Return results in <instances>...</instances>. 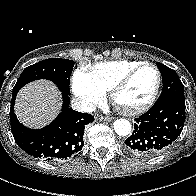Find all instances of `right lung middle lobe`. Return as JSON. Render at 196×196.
<instances>
[{
  "label": "right lung middle lobe",
  "mask_w": 196,
  "mask_h": 196,
  "mask_svg": "<svg viewBox=\"0 0 196 196\" xmlns=\"http://www.w3.org/2000/svg\"><path fill=\"white\" fill-rule=\"evenodd\" d=\"M74 61L69 59H45L28 66L21 73L13 92L19 91L27 83L37 79H47L54 82L61 92L70 95L69 83Z\"/></svg>",
  "instance_id": "dd1d6c3e"
}]
</instances>
